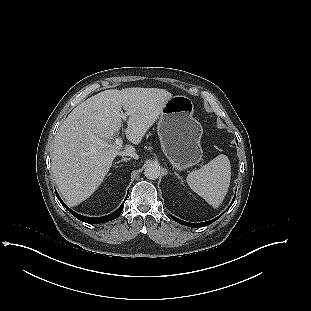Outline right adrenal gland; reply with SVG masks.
<instances>
[{
    "mask_svg": "<svg viewBox=\"0 0 311 311\" xmlns=\"http://www.w3.org/2000/svg\"><path fill=\"white\" fill-rule=\"evenodd\" d=\"M128 160H130V158H122L121 160H119L118 162H115L114 164H118L120 162H127Z\"/></svg>",
    "mask_w": 311,
    "mask_h": 311,
    "instance_id": "1",
    "label": "right adrenal gland"
}]
</instances>
